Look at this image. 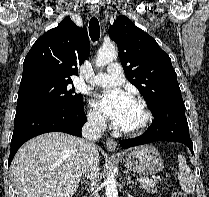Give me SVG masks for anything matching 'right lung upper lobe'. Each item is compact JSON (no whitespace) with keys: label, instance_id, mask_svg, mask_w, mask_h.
<instances>
[{"label":"right lung upper lobe","instance_id":"obj_1","mask_svg":"<svg viewBox=\"0 0 209 197\" xmlns=\"http://www.w3.org/2000/svg\"><path fill=\"white\" fill-rule=\"evenodd\" d=\"M86 27L67 17L34 43L23 62L20 84L37 80H71L89 54Z\"/></svg>","mask_w":209,"mask_h":197}]
</instances>
